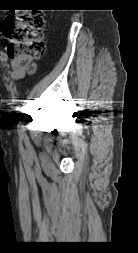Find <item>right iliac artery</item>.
Instances as JSON below:
<instances>
[{
	"label": "right iliac artery",
	"instance_id": "1",
	"mask_svg": "<svg viewBox=\"0 0 138 253\" xmlns=\"http://www.w3.org/2000/svg\"><path fill=\"white\" fill-rule=\"evenodd\" d=\"M23 117H26V114H23ZM25 118H22L21 122L18 124L19 127V138L20 139H25L26 138V126H25Z\"/></svg>",
	"mask_w": 138,
	"mask_h": 253
}]
</instances>
